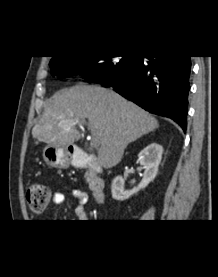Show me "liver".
Returning <instances> with one entry per match:
<instances>
[{
	"label": "liver",
	"mask_w": 218,
	"mask_h": 277,
	"mask_svg": "<svg viewBox=\"0 0 218 277\" xmlns=\"http://www.w3.org/2000/svg\"><path fill=\"white\" fill-rule=\"evenodd\" d=\"M98 138V162L104 168L117 165L125 148L159 127L155 117L112 90L100 86L76 85L57 92L46 105L32 135L55 147H68L81 134L70 121L84 123Z\"/></svg>",
	"instance_id": "1"
}]
</instances>
